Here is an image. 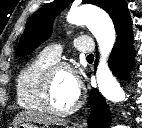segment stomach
<instances>
[{
	"instance_id": "1",
	"label": "stomach",
	"mask_w": 142,
	"mask_h": 128,
	"mask_svg": "<svg viewBox=\"0 0 142 128\" xmlns=\"http://www.w3.org/2000/svg\"><path fill=\"white\" fill-rule=\"evenodd\" d=\"M14 128H38V126L30 122H22L14 126Z\"/></svg>"
}]
</instances>
